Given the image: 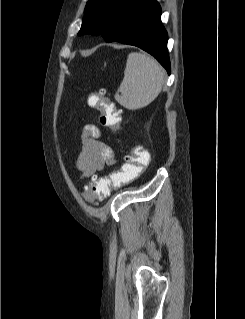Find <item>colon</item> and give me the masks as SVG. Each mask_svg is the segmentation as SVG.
I'll use <instances>...</instances> for the list:
<instances>
[{
	"label": "colon",
	"mask_w": 245,
	"mask_h": 319,
	"mask_svg": "<svg viewBox=\"0 0 245 319\" xmlns=\"http://www.w3.org/2000/svg\"><path fill=\"white\" fill-rule=\"evenodd\" d=\"M89 106L97 109L102 126L112 130L119 129L123 124L121 112L114 101L106 97L103 92H93L87 97ZM122 167L108 176L93 175L85 187L84 196L87 200L95 202L107 197L112 190L135 180L148 168L150 156L146 150L136 146L126 155Z\"/></svg>",
	"instance_id": "colon-1"
}]
</instances>
